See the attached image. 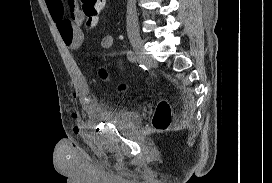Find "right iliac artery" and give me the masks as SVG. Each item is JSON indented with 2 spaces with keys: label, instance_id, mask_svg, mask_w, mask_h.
<instances>
[{
  "label": "right iliac artery",
  "instance_id": "82829eb1",
  "mask_svg": "<svg viewBox=\"0 0 272 183\" xmlns=\"http://www.w3.org/2000/svg\"><path fill=\"white\" fill-rule=\"evenodd\" d=\"M127 58H128V60H129L130 62H132V63L136 62V60H137L136 55H135L134 52L131 51V50H129V51L127 52Z\"/></svg>",
  "mask_w": 272,
  "mask_h": 183
}]
</instances>
